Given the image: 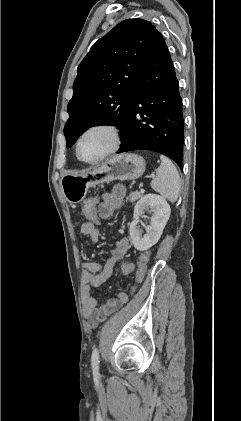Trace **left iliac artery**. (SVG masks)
Returning a JSON list of instances; mask_svg holds the SVG:
<instances>
[{
    "mask_svg": "<svg viewBox=\"0 0 241 421\" xmlns=\"http://www.w3.org/2000/svg\"><path fill=\"white\" fill-rule=\"evenodd\" d=\"M99 363H100V360H99V351H98L97 348H95L93 350L92 356H91V365H92V367H93V369L95 371H98V369H99Z\"/></svg>",
    "mask_w": 241,
    "mask_h": 421,
    "instance_id": "obj_1",
    "label": "left iliac artery"
}]
</instances>
